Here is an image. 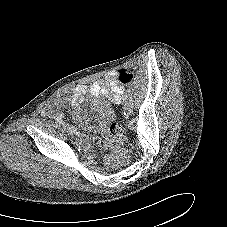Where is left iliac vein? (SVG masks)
<instances>
[{"instance_id": "obj_1", "label": "left iliac vein", "mask_w": 227, "mask_h": 227, "mask_svg": "<svg viewBox=\"0 0 227 227\" xmlns=\"http://www.w3.org/2000/svg\"><path fill=\"white\" fill-rule=\"evenodd\" d=\"M124 109L127 112V114H131L133 112L132 106L129 103H124Z\"/></svg>"}]
</instances>
